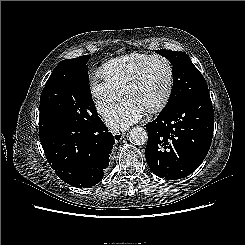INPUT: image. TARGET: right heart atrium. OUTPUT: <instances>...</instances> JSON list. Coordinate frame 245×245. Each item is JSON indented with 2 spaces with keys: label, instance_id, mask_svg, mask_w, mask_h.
<instances>
[{
  "label": "right heart atrium",
  "instance_id": "1",
  "mask_svg": "<svg viewBox=\"0 0 245 245\" xmlns=\"http://www.w3.org/2000/svg\"><path fill=\"white\" fill-rule=\"evenodd\" d=\"M89 87L95 107L101 114L105 113L123 95V90L113 85L102 71H94L90 75Z\"/></svg>",
  "mask_w": 245,
  "mask_h": 245
}]
</instances>
